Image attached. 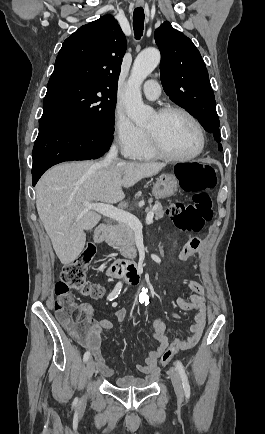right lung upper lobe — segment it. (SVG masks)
Returning <instances> with one entry per match:
<instances>
[{"mask_svg": "<svg viewBox=\"0 0 265 434\" xmlns=\"http://www.w3.org/2000/svg\"><path fill=\"white\" fill-rule=\"evenodd\" d=\"M126 47L125 36L114 17L102 16L64 41L50 78L87 76L117 87Z\"/></svg>", "mask_w": 265, "mask_h": 434, "instance_id": "cb5924a9", "label": "right lung upper lobe"}]
</instances>
